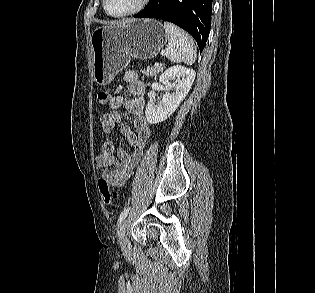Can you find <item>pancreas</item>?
<instances>
[{
    "label": "pancreas",
    "instance_id": "1",
    "mask_svg": "<svg viewBox=\"0 0 315 293\" xmlns=\"http://www.w3.org/2000/svg\"><path fill=\"white\" fill-rule=\"evenodd\" d=\"M164 67L162 65L158 66H148L146 70H141L143 75L156 77L158 73L162 72Z\"/></svg>",
    "mask_w": 315,
    "mask_h": 293
}]
</instances>
